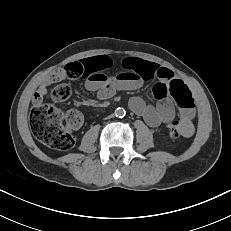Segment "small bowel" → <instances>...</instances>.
I'll list each match as a JSON object with an SVG mask.
<instances>
[{"mask_svg": "<svg viewBox=\"0 0 231 231\" xmlns=\"http://www.w3.org/2000/svg\"><path fill=\"white\" fill-rule=\"evenodd\" d=\"M76 63L82 67L81 76L86 80V88L96 91L101 100L111 98L120 90L138 89L146 81L156 79L152 90L157 100L156 105H149L141 98L133 97L129 100L130 109L141 116L149 126L158 127L175 119L176 110L172 102L174 100L178 107L182 134L185 137L193 135L195 104L192 93L168 68L139 58L129 57L115 61L105 55L86 58ZM113 67H120L121 70L115 75H108L106 71ZM65 77V71L62 69L45 78L34 94L33 103L43 102L48 88Z\"/></svg>", "mask_w": 231, "mask_h": 231, "instance_id": "small-bowel-1", "label": "small bowel"}]
</instances>
